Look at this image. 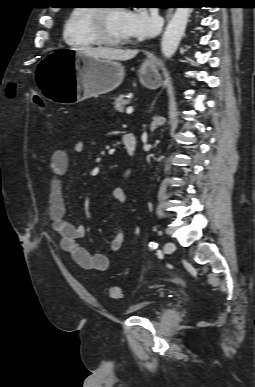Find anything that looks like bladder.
<instances>
[{"mask_svg": "<svg viewBox=\"0 0 255 387\" xmlns=\"http://www.w3.org/2000/svg\"><path fill=\"white\" fill-rule=\"evenodd\" d=\"M162 306L163 304L160 301H144L131 305L126 313L136 316H148L159 311Z\"/></svg>", "mask_w": 255, "mask_h": 387, "instance_id": "1", "label": "bladder"}]
</instances>
